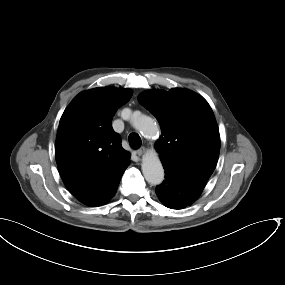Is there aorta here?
<instances>
[{"instance_id": "1", "label": "aorta", "mask_w": 285, "mask_h": 285, "mask_svg": "<svg viewBox=\"0 0 285 285\" xmlns=\"http://www.w3.org/2000/svg\"><path fill=\"white\" fill-rule=\"evenodd\" d=\"M127 118L126 114L124 115ZM132 126L144 137L152 138L159 134V128L154 120L139 112L130 116ZM142 173L146 181L152 185H158L164 180V169L156 152L147 153L142 159Z\"/></svg>"}]
</instances>
